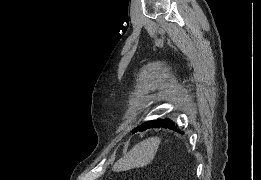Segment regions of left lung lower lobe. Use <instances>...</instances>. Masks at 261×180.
<instances>
[{
	"label": "left lung lower lobe",
	"instance_id": "left-lung-lower-lobe-1",
	"mask_svg": "<svg viewBox=\"0 0 261 180\" xmlns=\"http://www.w3.org/2000/svg\"><path fill=\"white\" fill-rule=\"evenodd\" d=\"M149 128H168V129L176 130V131L179 130L178 127L170 119H163V120H157L150 126L146 127L143 130H139V131H144Z\"/></svg>",
	"mask_w": 261,
	"mask_h": 180
}]
</instances>
